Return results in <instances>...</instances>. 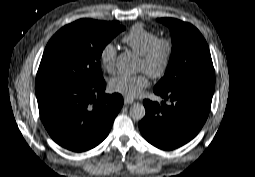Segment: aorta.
<instances>
[{"instance_id":"aorta-1","label":"aorta","mask_w":255,"mask_h":177,"mask_svg":"<svg viewBox=\"0 0 255 177\" xmlns=\"http://www.w3.org/2000/svg\"><path fill=\"white\" fill-rule=\"evenodd\" d=\"M116 67L123 73H135L136 61L130 52L121 53L116 60ZM146 114L145 107L140 103H134L129 109V115L133 120L140 121Z\"/></svg>"}]
</instances>
